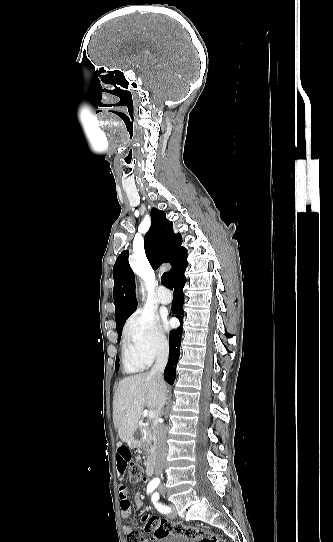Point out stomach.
<instances>
[{"label":"stomach","mask_w":333,"mask_h":542,"mask_svg":"<svg viewBox=\"0 0 333 542\" xmlns=\"http://www.w3.org/2000/svg\"><path fill=\"white\" fill-rule=\"evenodd\" d=\"M141 444H142V434L140 430H138V432H135L134 436L130 438L128 442V446L129 448H140Z\"/></svg>","instance_id":"stomach-1"}]
</instances>
